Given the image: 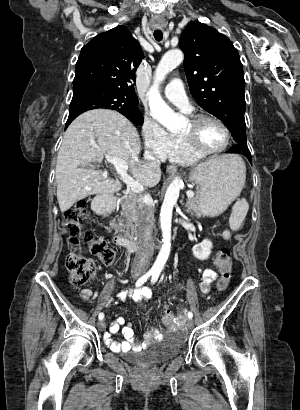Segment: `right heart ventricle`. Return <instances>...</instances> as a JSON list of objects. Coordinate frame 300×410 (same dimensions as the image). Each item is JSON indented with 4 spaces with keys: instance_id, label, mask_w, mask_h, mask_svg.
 I'll list each match as a JSON object with an SVG mask.
<instances>
[{
    "instance_id": "right-heart-ventricle-1",
    "label": "right heart ventricle",
    "mask_w": 300,
    "mask_h": 410,
    "mask_svg": "<svg viewBox=\"0 0 300 410\" xmlns=\"http://www.w3.org/2000/svg\"><path fill=\"white\" fill-rule=\"evenodd\" d=\"M165 158H168L171 162L184 165L194 164L201 159L187 148L180 136H173V145Z\"/></svg>"
}]
</instances>
